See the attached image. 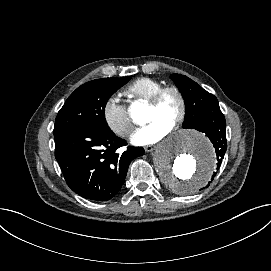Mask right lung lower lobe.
I'll use <instances>...</instances> for the list:
<instances>
[{"instance_id": "98d812e1", "label": "right lung lower lobe", "mask_w": 271, "mask_h": 271, "mask_svg": "<svg viewBox=\"0 0 271 271\" xmlns=\"http://www.w3.org/2000/svg\"><path fill=\"white\" fill-rule=\"evenodd\" d=\"M55 157L69 188L83 198L107 201L115 197L125 180L130 162L144 154L109 130L73 128L54 136Z\"/></svg>"}]
</instances>
